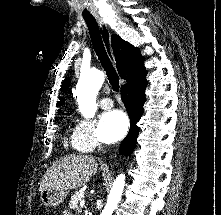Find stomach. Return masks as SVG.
<instances>
[{"label":"stomach","mask_w":221,"mask_h":215,"mask_svg":"<svg viewBox=\"0 0 221 215\" xmlns=\"http://www.w3.org/2000/svg\"><path fill=\"white\" fill-rule=\"evenodd\" d=\"M68 192L65 190H56L53 188H47L41 192L40 199L42 203L47 207H56L64 201Z\"/></svg>","instance_id":"1"}]
</instances>
